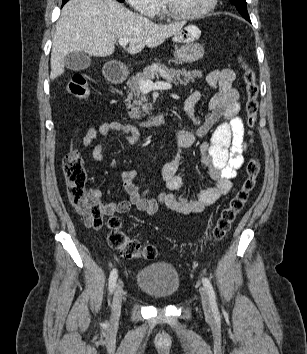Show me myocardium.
I'll list each match as a JSON object with an SVG mask.
<instances>
[{
    "label": "myocardium",
    "mask_w": 307,
    "mask_h": 354,
    "mask_svg": "<svg viewBox=\"0 0 307 354\" xmlns=\"http://www.w3.org/2000/svg\"><path fill=\"white\" fill-rule=\"evenodd\" d=\"M217 3L218 0H209L208 4L203 10L196 13L182 14L175 11L169 4L168 0H162V5L165 14L173 20H183V21L197 20L209 15L212 11H214V9L217 6Z\"/></svg>",
    "instance_id": "obj_1"
}]
</instances>
